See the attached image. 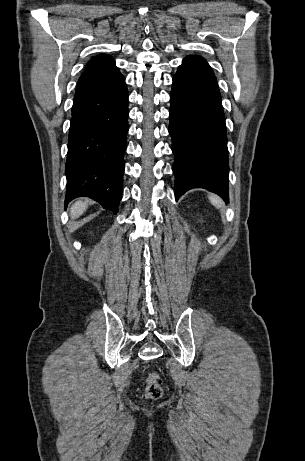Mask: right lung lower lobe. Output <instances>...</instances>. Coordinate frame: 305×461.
Returning a JSON list of instances; mask_svg holds the SVG:
<instances>
[{"label": "right lung lower lobe", "mask_w": 305, "mask_h": 461, "mask_svg": "<svg viewBox=\"0 0 305 461\" xmlns=\"http://www.w3.org/2000/svg\"><path fill=\"white\" fill-rule=\"evenodd\" d=\"M128 114V91L120 72L104 80L78 83L68 136L65 205L86 196L118 212Z\"/></svg>", "instance_id": "98d812e1"}]
</instances>
